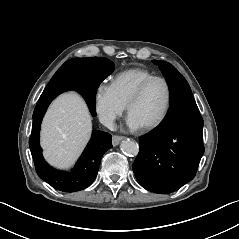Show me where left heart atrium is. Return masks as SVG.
<instances>
[{
    "label": "left heart atrium",
    "mask_w": 239,
    "mask_h": 239,
    "mask_svg": "<svg viewBox=\"0 0 239 239\" xmlns=\"http://www.w3.org/2000/svg\"><path fill=\"white\" fill-rule=\"evenodd\" d=\"M128 126L132 130H138V129L142 128L141 123L131 114L128 116Z\"/></svg>",
    "instance_id": "1"
}]
</instances>
